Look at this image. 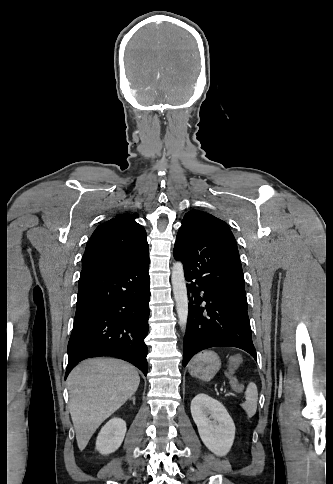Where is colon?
I'll return each instance as SVG.
<instances>
[{
    "label": "colon",
    "mask_w": 333,
    "mask_h": 484,
    "mask_svg": "<svg viewBox=\"0 0 333 484\" xmlns=\"http://www.w3.org/2000/svg\"><path fill=\"white\" fill-rule=\"evenodd\" d=\"M240 364L241 358L238 356L233 357L230 361L228 370L231 387L237 393H242L244 390V385L240 383L239 380L234 376V372L240 366Z\"/></svg>",
    "instance_id": "obj_1"
}]
</instances>
